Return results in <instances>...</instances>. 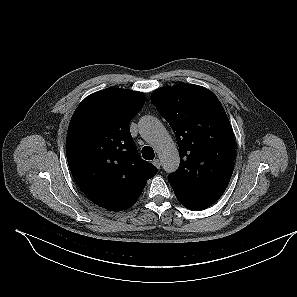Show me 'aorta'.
Listing matches in <instances>:
<instances>
[{
    "label": "aorta",
    "mask_w": 297,
    "mask_h": 297,
    "mask_svg": "<svg viewBox=\"0 0 297 297\" xmlns=\"http://www.w3.org/2000/svg\"><path fill=\"white\" fill-rule=\"evenodd\" d=\"M139 133L155 149L167 173H173L178 169L180 157L177 146L157 118L143 117L139 121Z\"/></svg>",
    "instance_id": "obj_1"
}]
</instances>
